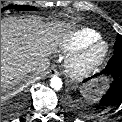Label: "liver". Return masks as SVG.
<instances>
[{
    "mask_svg": "<svg viewBox=\"0 0 122 122\" xmlns=\"http://www.w3.org/2000/svg\"><path fill=\"white\" fill-rule=\"evenodd\" d=\"M63 23H44L37 17L1 20V91L12 88L47 58L59 44Z\"/></svg>",
    "mask_w": 122,
    "mask_h": 122,
    "instance_id": "6515ba94",
    "label": "liver"
}]
</instances>
